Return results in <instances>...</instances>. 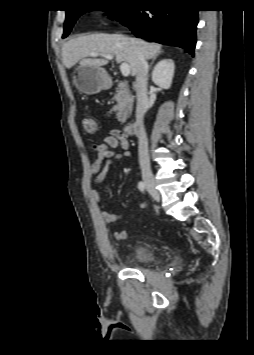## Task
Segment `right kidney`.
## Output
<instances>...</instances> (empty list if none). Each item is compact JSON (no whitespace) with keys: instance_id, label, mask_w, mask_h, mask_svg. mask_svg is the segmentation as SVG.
I'll list each match as a JSON object with an SVG mask.
<instances>
[{"instance_id":"obj_1","label":"right kidney","mask_w":254,"mask_h":355,"mask_svg":"<svg viewBox=\"0 0 254 355\" xmlns=\"http://www.w3.org/2000/svg\"><path fill=\"white\" fill-rule=\"evenodd\" d=\"M174 70V61L172 59H163L154 67L152 81L161 88L169 89L174 76Z\"/></svg>"}]
</instances>
